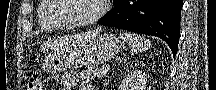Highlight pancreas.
<instances>
[{
	"label": "pancreas",
	"mask_w": 216,
	"mask_h": 90,
	"mask_svg": "<svg viewBox=\"0 0 216 90\" xmlns=\"http://www.w3.org/2000/svg\"><path fill=\"white\" fill-rule=\"evenodd\" d=\"M99 71V67H87L86 70H82V72H79V74L84 82H88V80H95L97 76L96 72Z\"/></svg>",
	"instance_id": "cf45deb5"
}]
</instances>
